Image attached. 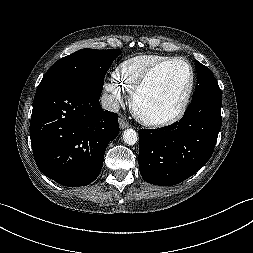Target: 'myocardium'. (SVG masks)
<instances>
[{"instance_id":"obj_1","label":"myocardium","mask_w":253,"mask_h":253,"mask_svg":"<svg viewBox=\"0 0 253 253\" xmlns=\"http://www.w3.org/2000/svg\"><path fill=\"white\" fill-rule=\"evenodd\" d=\"M174 62H181L185 64L189 70V85L179 108L167 117L155 118L143 115L137 105L139 95L157 70ZM195 79L194 67L191 62L184 57H172L153 64L144 72L131 93L130 104L133 113L143 124L148 126L164 127L178 122L185 115L188 109L195 87Z\"/></svg>"}]
</instances>
